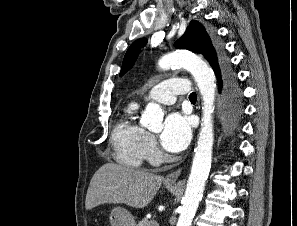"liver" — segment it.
<instances>
[{
  "label": "liver",
  "mask_w": 297,
  "mask_h": 226,
  "mask_svg": "<svg viewBox=\"0 0 297 226\" xmlns=\"http://www.w3.org/2000/svg\"><path fill=\"white\" fill-rule=\"evenodd\" d=\"M162 180L154 173L106 163L90 181L85 208L91 210L105 203L146 207L159 190Z\"/></svg>",
  "instance_id": "6515ba94"
}]
</instances>
